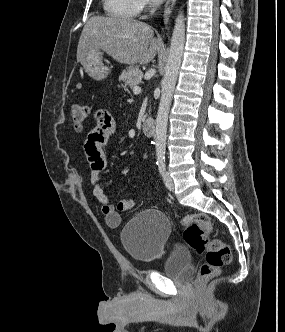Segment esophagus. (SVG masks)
<instances>
[{
  "label": "esophagus",
  "mask_w": 285,
  "mask_h": 332,
  "mask_svg": "<svg viewBox=\"0 0 285 332\" xmlns=\"http://www.w3.org/2000/svg\"><path fill=\"white\" fill-rule=\"evenodd\" d=\"M176 0H167V3L165 5L164 11H163V17L164 20L167 21L171 14H172V10L175 6Z\"/></svg>",
  "instance_id": "1"
}]
</instances>
